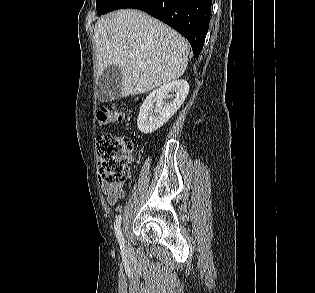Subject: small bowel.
<instances>
[{
    "label": "small bowel",
    "instance_id": "obj_1",
    "mask_svg": "<svg viewBox=\"0 0 315 293\" xmlns=\"http://www.w3.org/2000/svg\"><path fill=\"white\" fill-rule=\"evenodd\" d=\"M101 190L110 204H115L119 199L123 198L125 191L122 185H110L102 183Z\"/></svg>",
    "mask_w": 315,
    "mask_h": 293
}]
</instances>
